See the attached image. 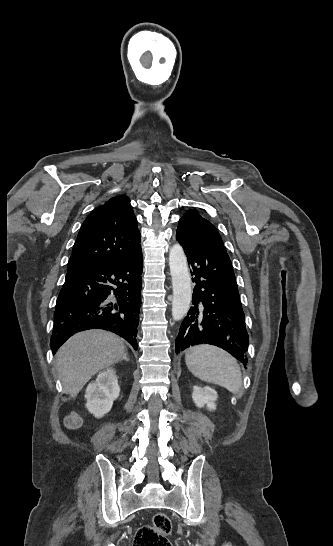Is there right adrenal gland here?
<instances>
[{
    "instance_id": "right-adrenal-gland-1",
    "label": "right adrenal gland",
    "mask_w": 333,
    "mask_h": 546,
    "mask_svg": "<svg viewBox=\"0 0 333 546\" xmlns=\"http://www.w3.org/2000/svg\"><path fill=\"white\" fill-rule=\"evenodd\" d=\"M122 359H123V360H126V361H129V358L127 357V354H126V353L124 354V356H123Z\"/></svg>"
}]
</instances>
